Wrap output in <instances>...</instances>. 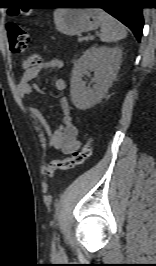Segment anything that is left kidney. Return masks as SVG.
Instances as JSON below:
<instances>
[{"mask_svg": "<svg viewBox=\"0 0 156 266\" xmlns=\"http://www.w3.org/2000/svg\"><path fill=\"white\" fill-rule=\"evenodd\" d=\"M122 50L118 47H91L75 62L70 81V94L74 106L86 110L107 94L120 69ZM94 71L93 88L82 81L84 74Z\"/></svg>", "mask_w": 156, "mask_h": 266, "instance_id": "5707ae66", "label": "left kidney"}]
</instances>
